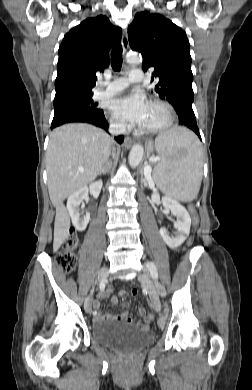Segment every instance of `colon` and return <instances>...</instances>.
<instances>
[{"instance_id": "obj_1", "label": "colon", "mask_w": 252, "mask_h": 390, "mask_svg": "<svg viewBox=\"0 0 252 390\" xmlns=\"http://www.w3.org/2000/svg\"><path fill=\"white\" fill-rule=\"evenodd\" d=\"M189 212L192 215V221L194 226L198 225V217H197V212L196 208L193 204H190L189 207ZM79 247V239L76 236V234L71 233L62 243L61 250L56 256V263L58 266L61 268L62 271L64 272H70L72 271L77 264V255L76 251ZM124 291L125 290H121ZM131 294L133 296H136L138 294L137 289H132ZM146 321L151 322L152 321V316L150 314L147 315Z\"/></svg>"}]
</instances>
